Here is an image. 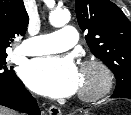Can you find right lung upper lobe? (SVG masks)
I'll use <instances>...</instances> for the list:
<instances>
[{"label": "right lung upper lobe", "mask_w": 131, "mask_h": 115, "mask_svg": "<svg viewBox=\"0 0 131 115\" xmlns=\"http://www.w3.org/2000/svg\"><path fill=\"white\" fill-rule=\"evenodd\" d=\"M28 22L23 0H0V54L6 53L15 36L25 34Z\"/></svg>", "instance_id": "cb5924a9"}]
</instances>
